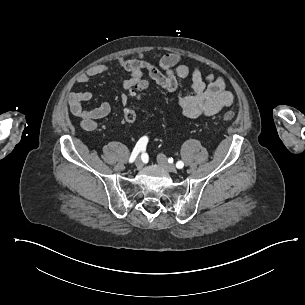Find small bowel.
Here are the masks:
<instances>
[{"label":"small bowel","mask_w":305,"mask_h":305,"mask_svg":"<svg viewBox=\"0 0 305 305\" xmlns=\"http://www.w3.org/2000/svg\"><path fill=\"white\" fill-rule=\"evenodd\" d=\"M181 55L178 53L165 54L159 62V67L144 59L142 54L129 58L120 57L117 63L129 72V77L122 81V87L132 93L134 85L140 80H146L143 72H147L150 78L162 89L173 92L178 88L179 79L191 76L192 91L179 97L178 104L184 116L195 119L211 117L220 110L230 106L234 101L233 94L226 89L223 78L208 71L205 75L199 66L190 69L181 63ZM112 67L108 64H97L88 67L79 78V83L87 84L94 76L108 73ZM130 94H122L120 102L126 108V101ZM89 91L71 92L68 103L71 113L78 117L81 128L91 132L97 129L98 120L108 116L112 110L110 103L103 102L98 107L88 109L84 103L92 98Z\"/></svg>","instance_id":"c3829d8e"}]
</instances>
